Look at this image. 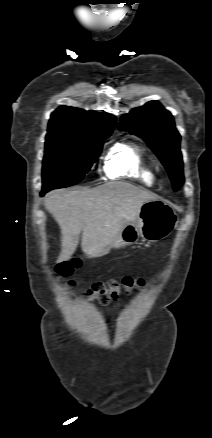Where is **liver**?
Here are the masks:
<instances>
[{
	"instance_id": "obj_1",
	"label": "liver",
	"mask_w": 212,
	"mask_h": 438,
	"mask_svg": "<svg viewBox=\"0 0 212 438\" xmlns=\"http://www.w3.org/2000/svg\"><path fill=\"white\" fill-rule=\"evenodd\" d=\"M158 196L131 184L110 182L95 188L54 190L45 198L46 210L61 230V252L57 262L71 258L82 232L81 248L89 258H98L133 222L141 206Z\"/></svg>"
}]
</instances>
